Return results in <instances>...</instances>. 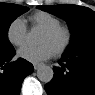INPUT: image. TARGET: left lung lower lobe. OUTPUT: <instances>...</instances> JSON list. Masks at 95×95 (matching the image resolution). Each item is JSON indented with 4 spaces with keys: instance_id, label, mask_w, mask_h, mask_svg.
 Wrapping results in <instances>:
<instances>
[{
    "instance_id": "left-lung-lower-lobe-1",
    "label": "left lung lower lobe",
    "mask_w": 95,
    "mask_h": 95,
    "mask_svg": "<svg viewBox=\"0 0 95 95\" xmlns=\"http://www.w3.org/2000/svg\"><path fill=\"white\" fill-rule=\"evenodd\" d=\"M45 85L48 95H95V48L65 53Z\"/></svg>"
}]
</instances>
